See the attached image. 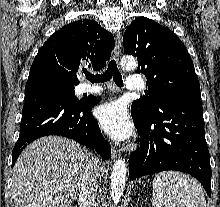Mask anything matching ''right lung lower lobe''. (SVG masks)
<instances>
[{
  "mask_svg": "<svg viewBox=\"0 0 220 207\" xmlns=\"http://www.w3.org/2000/svg\"><path fill=\"white\" fill-rule=\"evenodd\" d=\"M96 103V98L77 101L61 85L47 80L27 81L20 134L12 152V167L29 143L47 135L71 138L108 159L110 145L91 114Z\"/></svg>",
  "mask_w": 220,
  "mask_h": 207,
  "instance_id": "right-lung-lower-lobe-1",
  "label": "right lung lower lobe"
}]
</instances>
